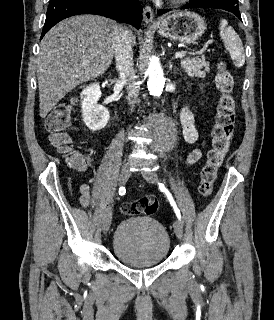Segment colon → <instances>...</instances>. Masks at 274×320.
<instances>
[{
	"mask_svg": "<svg viewBox=\"0 0 274 320\" xmlns=\"http://www.w3.org/2000/svg\"><path fill=\"white\" fill-rule=\"evenodd\" d=\"M216 85L221 92L218 110L212 130V146L204 164L198 192L204 199L211 194L218 170L231 147L236 131V107L231 94L233 89L232 74L221 65L216 74ZM71 115L66 106H59L52 110L45 123L49 132L51 144L61 152L68 154L71 166L77 170L84 167V157L71 153L72 138L67 133L70 127ZM158 203L154 198L144 197L134 202L122 204L120 211L125 216L146 214L152 216L157 212Z\"/></svg>",
	"mask_w": 274,
	"mask_h": 320,
	"instance_id": "5ec220e1",
	"label": "colon"
}]
</instances>
